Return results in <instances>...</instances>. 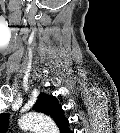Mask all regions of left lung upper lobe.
<instances>
[{"label": "left lung upper lobe", "mask_w": 120, "mask_h": 133, "mask_svg": "<svg viewBox=\"0 0 120 133\" xmlns=\"http://www.w3.org/2000/svg\"><path fill=\"white\" fill-rule=\"evenodd\" d=\"M33 108L38 112L50 115L58 126H66L68 123V120L64 117L61 106H59V104L53 96L41 94ZM7 118L8 115H3L2 117L1 126L3 127V131L7 127L5 123Z\"/></svg>", "instance_id": "left-lung-upper-lobe-1"}]
</instances>
